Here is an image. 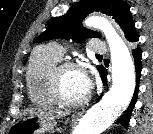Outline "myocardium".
<instances>
[{
  "mask_svg": "<svg viewBox=\"0 0 153 134\" xmlns=\"http://www.w3.org/2000/svg\"><path fill=\"white\" fill-rule=\"evenodd\" d=\"M68 69H75L83 72L85 75H87V70L84 65H82L79 62L71 61V60H63L59 61L57 64H55L49 73V85H50V91L57 101V103L68 106V107H78L84 105L88 99L89 94L77 101L69 100L67 99L61 89V77L65 70Z\"/></svg>",
  "mask_w": 153,
  "mask_h": 134,
  "instance_id": "1",
  "label": "myocardium"
}]
</instances>
